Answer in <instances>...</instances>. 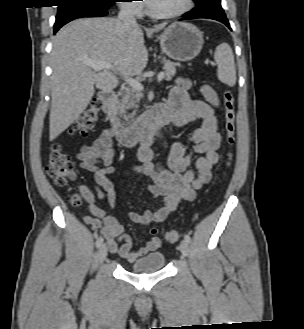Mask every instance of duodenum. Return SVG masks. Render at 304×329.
Masks as SVG:
<instances>
[{
	"label": "duodenum",
	"mask_w": 304,
	"mask_h": 329,
	"mask_svg": "<svg viewBox=\"0 0 304 329\" xmlns=\"http://www.w3.org/2000/svg\"><path fill=\"white\" fill-rule=\"evenodd\" d=\"M102 111L110 122L113 136L119 144L130 147L138 141L150 140L155 132L173 121V114L164 106L153 107L146 114L124 124L117 113V97L112 90H103L99 93Z\"/></svg>",
	"instance_id": "1"
}]
</instances>
